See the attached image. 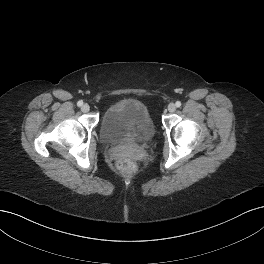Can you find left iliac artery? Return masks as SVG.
Instances as JSON below:
<instances>
[{"instance_id": "44dca946", "label": "left iliac artery", "mask_w": 264, "mask_h": 264, "mask_svg": "<svg viewBox=\"0 0 264 264\" xmlns=\"http://www.w3.org/2000/svg\"><path fill=\"white\" fill-rule=\"evenodd\" d=\"M175 105H176V107H180V106H181V102H180V101H177V102L175 103Z\"/></svg>"}]
</instances>
